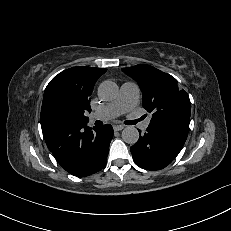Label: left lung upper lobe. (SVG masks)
Instances as JSON below:
<instances>
[{
  "mask_svg": "<svg viewBox=\"0 0 231 231\" xmlns=\"http://www.w3.org/2000/svg\"><path fill=\"white\" fill-rule=\"evenodd\" d=\"M122 70L138 82L143 95V107L152 113L150 124L189 131L190 99L174 77L145 64Z\"/></svg>",
  "mask_w": 231,
  "mask_h": 231,
  "instance_id": "obj_1",
  "label": "left lung upper lobe"
}]
</instances>
